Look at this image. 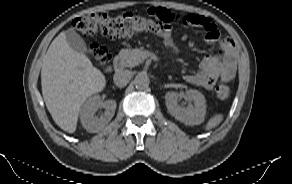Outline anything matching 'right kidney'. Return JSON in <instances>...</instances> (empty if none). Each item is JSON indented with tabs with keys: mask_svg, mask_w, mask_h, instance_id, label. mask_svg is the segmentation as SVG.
<instances>
[{
	"mask_svg": "<svg viewBox=\"0 0 292 184\" xmlns=\"http://www.w3.org/2000/svg\"><path fill=\"white\" fill-rule=\"evenodd\" d=\"M100 107H103L105 112L98 118L95 116V112ZM115 110L116 102L114 100L102 101L100 96L94 95L83 104L80 110V120L88 132L97 133L110 122Z\"/></svg>",
	"mask_w": 292,
	"mask_h": 184,
	"instance_id": "obj_1",
	"label": "right kidney"
}]
</instances>
